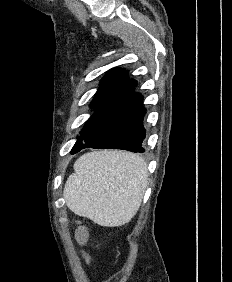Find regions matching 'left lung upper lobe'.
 Here are the masks:
<instances>
[{"mask_svg":"<svg viewBox=\"0 0 232 282\" xmlns=\"http://www.w3.org/2000/svg\"><path fill=\"white\" fill-rule=\"evenodd\" d=\"M129 80L128 71L123 68H113L108 71L105 77L101 80V85L95 94L90 107L95 109L93 116L86 122L84 128L80 132L81 136L78 138L75 145L83 144L91 137L97 119L104 110L113 95Z\"/></svg>","mask_w":232,"mask_h":282,"instance_id":"1","label":"left lung upper lobe"}]
</instances>
